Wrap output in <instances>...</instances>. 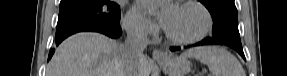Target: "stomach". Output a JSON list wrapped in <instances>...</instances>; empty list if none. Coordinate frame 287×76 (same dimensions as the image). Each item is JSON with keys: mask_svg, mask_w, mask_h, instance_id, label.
Here are the masks:
<instances>
[{"mask_svg": "<svg viewBox=\"0 0 287 76\" xmlns=\"http://www.w3.org/2000/svg\"><path fill=\"white\" fill-rule=\"evenodd\" d=\"M160 67L168 76H186L191 70V63L185 57L169 55L166 59L158 61Z\"/></svg>", "mask_w": 287, "mask_h": 76, "instance_id": "0dacf381", "label": "stomach"}]
</instances>
